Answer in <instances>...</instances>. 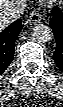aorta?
I'll return each instance as SVG.
<instances>
[{
	"label": "aorta",
	"mask_w": 63,
	"mask_h": 107,
	"mask_svg": "<svg viewBox=\"0 0 63 107\" xmlns=\"http://www.w3.org/2000/svg\"><path fill=\"white\" fill-rule=\"evenodd\" d=\"M52 35L50 27L44 24H38L32 29V37L39 43L48 42Z\"/></svg>",
	"instance_id": "1"
}]
</instances>
